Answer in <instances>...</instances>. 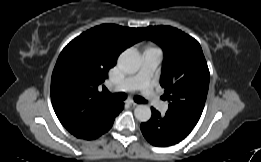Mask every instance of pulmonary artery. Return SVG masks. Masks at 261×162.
<instances>
[{
  "instance_id": "1",
  "label": "pulmonary artery",
  "mask_w": 261,
  "mask_h": 162,
  "mask_svg": "<svg viewBox=\"0 0 261 162\" xmlns=\"http://www.w3.org/2000/svg\"><path fill=\"white\" fill-rule=\"evenodd\" d=\"M162 57L163 55L160 49H146L142 54L141 65L137 73L125 78L121 83L115 86V89L120 92L139 89L154 108L160 112H165L168 109V104L162 101L151 87V80Z\"/></svg>"
}]
</instances>
